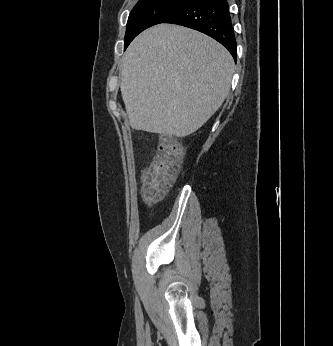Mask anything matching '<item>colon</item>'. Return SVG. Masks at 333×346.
I'll return each instance as SVG.
<instances>
[{"label":"colon","mask_w":333,"mask_h":346,"mask_svg":"<svg viewBox=\"0 0 333 346\" xmlns=\"http://www.w3.org/2000/svg\"><path fill=\"white\" fill-rule=\"evenodd\" d=\"M184 147L175 139L163 135L157 151L141 175L144 199L149 203L161 201L179 172Z\"/></svg>","instance_id":"1"}]
</instances>
